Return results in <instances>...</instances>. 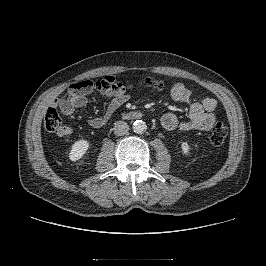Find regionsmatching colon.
<instances>
[{"mask_svg":"<svg viewBox=\"0 0 266 266\" xmlns=\"http://www.w3.org/2000/svg\"><path fill=\"white\" fill-rule=\"evenodd\" d=\"M142 84L159 90L165 88V84L162 81L153 78L144 79ZM91 89H96L100 92H107L110 90H125V86L115 77L105 76L97 80H83L76 82L70 87V92L74 95H79L86 93ZM44 126L48 132L55 133L62 130V120L56 108L50 107L47 109L44 116ZM227 133V128L223 124H216L211 130V143L214 146L222 145L227 137Z\"/></svg>","mask_w":266,"mask_h":266,"instance_id":"obj_1","label":"colon"}]
</instances>
